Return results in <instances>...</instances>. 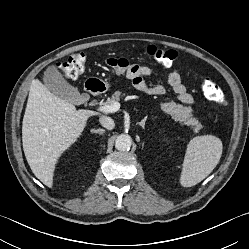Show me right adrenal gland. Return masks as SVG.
Returning <instances> with one entry per match:
<instances>
[{
  "instance_id": "2a0ac1e0",
  "label": "right adrenal gland",
  "mask_w": 249,
  "mask_h": 249,
  "mask_svg": "<svg viewBox=\"0 0 249 249\" xmlns=\"http://www.w3.org/2000/svg\"><path fill=\"white\" fill-rule=\"evenodd\" d=\"M92 132L99 134V135H102L105 132V130L104 129H93Z\"/></svg>"
}]
</instances>
